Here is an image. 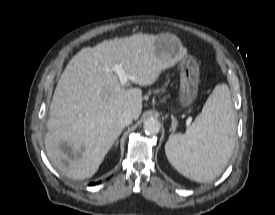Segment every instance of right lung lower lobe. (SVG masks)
I'll return each mask as SVG.
<instances>
[{"mask_svg": "<svg viewBox=\"0 0 275 215\" xmlns=\"http://www.w3.org/2000/svg\"><path fill=\"white\" fill-rule=\"evenodd\" d=\"M90 185H95V183H91Z\"/></svg>", "mask_w": 275, "mask_h": 215, "instance_id": "1", "label": "right lung lower lobe"}]
</instances>
